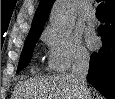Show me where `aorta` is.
<instances>
[{
    "label": "aorta",
    "mask_w": 115,
    "mask_h": 99,
    "mask_svg": "<svg viewBox=\"0 0 115 99\" xmlns=\"http://www.w3.org/2000/svg\"><path fill=\"white\" fill-rule=\"evenodd\" d=\"M76 20V7L71 2H57L52 10L50 25L54 32L67 34Z\"/></svg>",
    "instance_id": "obj_1"
}]
</instances>
